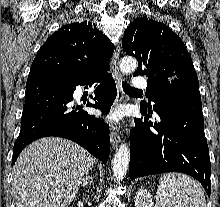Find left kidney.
<instances>
[{
	"label": "left kidney",
	"mask_w": 220,
	"mask_h": 207,
	"mask_svg": "<svg viewBox=\"0 0 220 207\" xmlns=\"http://www.w3.org/2000/svg\"><path fill=\"white\" fill-rule=\"evenodd\" d=\"M152 195L149 191L140 188L135 196V207H152Z\"/></svg>",
	"instance_id": "left-kidney-1"
}]
</instances>
